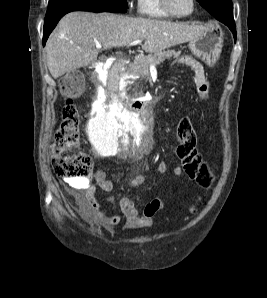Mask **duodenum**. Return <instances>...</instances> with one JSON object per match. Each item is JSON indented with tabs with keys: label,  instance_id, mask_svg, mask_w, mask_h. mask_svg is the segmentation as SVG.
<instances>
[{
	"label": "duodenum",
	"instance_id": "obj_1",
	"mask_svg": "<svg viewBox=\"0 0 267 298\" xmlns=\"http://www.w3.org/2000/svg\"><path fill=\"white\" fill-rule=\"evenodd\" d=\"M127 66V60H120L117 67H112V75L109 76V82H106V87L118 92L115 101L119 104H114V109H119V105H132L128 107L127 115H156V104H151L154 103V98L146 100L145 93H123L126 85L121 79L128 78L127 71H125ZM125 98H132V100H125Z\"/></svg>",
	"mask_w": 267,
	"mask_h": 298
}]
</instances>
